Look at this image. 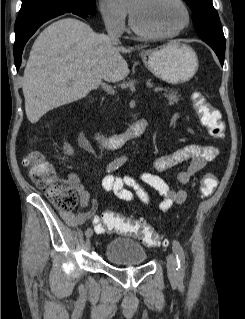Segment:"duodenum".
<instances>
[{"label":"duodenum","mask_w":245,"mask_h":319,"mask_svg":"<svg viewBox=\"0 0 245 319\" xmlns=\"http://www.w3.org/2000/svg\"><path fill=\"white\" fill-rule=\"evenodd\" d=\"M146 128L147 120L145 118H141L122 133L103 134L101 132H97L96 137L104 148L117 149L122 147L126 141L141 136L145 132Z\"/></svg>","instance_id":"410a0bca"}]
</instances>
